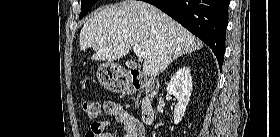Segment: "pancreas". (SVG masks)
Segmentation results:
<instances>
[{"mask_svg":"<svg viewBox=\"0 0 280 137\" xmlns=\"http://www.w3.org/2000/svg\"><path fill=\"white\" fill-rule=\"evenodd\" d=\"M135 106H138V103L136 102Z\"/></svg>","mask_w":280,"mask_h":137,"instance_id":"1","label":"pancreas"}]
</instances>
